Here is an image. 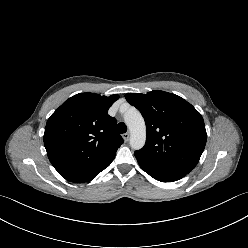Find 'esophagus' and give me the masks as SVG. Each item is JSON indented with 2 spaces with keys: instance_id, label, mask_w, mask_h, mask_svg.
Masks as SVG:
<instances>
[{
  "instance_id": "obj_1",
  "label": "esophagus",
  "mask_w": 248,
  "mask_h": 248,
  "mask_svg": "<svg viewBox=\"0 0 248 248\" xmlns=\"http://www.w3.org/2000/svg\"><path fill=\"white\" fill-rule=\"evenodd\" d=\"M129 138H130V133H129V132L123 134V139H124L126 142L129 140Z\"/></svg>"
}]
</instances>
